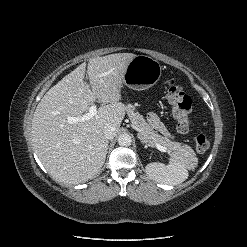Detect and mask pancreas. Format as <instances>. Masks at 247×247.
<instances>
[{
  "label": "pancreas",
  "instance_id": "obj_1",
  "mask_svg": "<svg viewBox=\"0 0 247 247\" xmlns=\"http://www.w3.org/2000/svg\"><path fill=\"white\" fill-rule=\"evenodd\" d=\"M127 113L138 130V137L140 140L147 144L155 145L160 144L172 152L173 157H180L192 159L195 153L191 147L179 142H173L169 138L159 135L153 128L145 121L142 115L135 111V106L132 104L127 105Z\"/></svg>",
  "mask_w": 247,
  "mask_h": 247
}]
</instances>
